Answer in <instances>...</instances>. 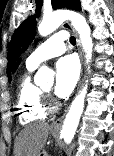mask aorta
Instances as JSON below:
<instances>
[{"instance_id":"1","label":"aorta","mask_w":114,"mask_h":156,"mask_svg":"<svg viewBox=\"0 0 114 156\" xmlns=\"http://www.w3.org/2000/svg\"><path fill=\"white\" fill-rule=\"evenodd\" d=\"M65 20H70L73 27L77 30L80 35L82 47L86 53V62H90L92 57L93 41L91 38V30L84 16L81 14L69 11L59 10L47 15L43 18L42 22L38 26V31L41 36H47L55 31ZM44 80H53V72L43 66L41 67L36 75L35 82L40 83ZM87 92V85H85L79 94L73 100L70 109L64 120L61 134L64 141L69 144L74 137L81 114L84 109L85 96Z\"/></svg>"}]
</instances>
